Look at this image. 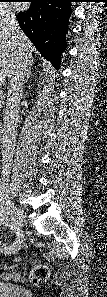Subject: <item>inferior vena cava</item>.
<instances>
[{"label":"inferior vena cava","instance_id":"602c4592","mask_svg":"<svg viewBox=\"0 0 107 297\" xmlns=\"http://www.w3.org/2000/svg\"><path fill=\"white\" fill-rule=\"evenodd\" d=\"M0 30L6 32L12 39H19L21 32L14 14L7 12L0 19ZM31 62L30 56L19 44L14 65L9 72L8 93L5 104L3 129H2V162L5 169L11 166L17 127L19 120L20 102L23 95L24 79Z\"/></svg>","mask_w":107,"mask_h":297}]
</instances>
